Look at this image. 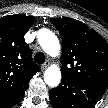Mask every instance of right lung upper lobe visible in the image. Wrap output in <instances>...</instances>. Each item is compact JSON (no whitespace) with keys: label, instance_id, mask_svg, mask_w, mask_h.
<instances>
[{"label":"right lung upper lobe","instance_id":"cb5924a9","mask_svg":"<svg viewBox=\"0 0 108 108\" xmlns=\"http://www.w3.org/2000/svg\"><path fill=\"white\" fill-rule=\"evenodd\" d=\"M34 21L33 17L23 14L0 18V101L22 93L40 70L24 41V35Z\"/></svg>","mask_w":108,"mask_h":108}]
</instances>
